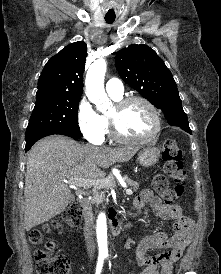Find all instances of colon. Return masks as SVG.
I'll use <instances>...</instances> for the list:
<instances>
[{
	"label": "colon",
	"instance_id": "obj_1",
	"mask_svg": "<svg viewBox=\"0 0 221 274\" xmlns=\"http://www.w3.org/2000/svg\"><path fill=\"white\" fill-rule=\"evenodd\" d=\"M162 157L165 175H157L154 178L153 188L167 204H171L184 192L186 171L183 167L181 151L174 140L168 139L164 142ZM167 177L174 181L173 186H169ZM81 216V207L75 203L67 207L58 220L45 225L43 230L34 229L30 232V241L41 246L34 253L38 274H70L68 258L53 255V244L44 241V232L77 227L81 222Z\"/></svg>",
	"mask_w": 221,
	"mask_h": 274
}]
</instances>
